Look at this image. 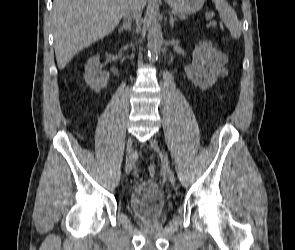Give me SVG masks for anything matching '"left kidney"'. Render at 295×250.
Instances as JSON below:
<instances>
[{"label": "left kidney", "instance_id": "obj_1", "mask_svg": "<svg viewBox=\"0 0 295 250\" xmlns=\"http://www.w3.org/2000/svg\"><path fill=\"white\" fill-rule=\"evenodd\" d=\"M226 62V57L211 43L200 42L193 51L192 64L185 67V72L195 86L207 90L215 84Z\"/></svg>", "mask_w": 295, "mask_h": 250}]
</instances>
